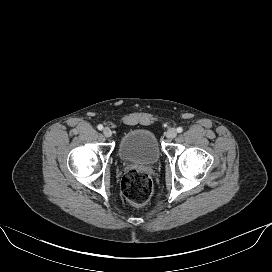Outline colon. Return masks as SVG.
Instances as JSON below:
<instances>
[{
	"instance_id": "1",
	"label": "colon",
	"mask_w": 272,
	"mask_h": 272,
	"mask_svg": "<svg viewBox=\"0 0 272 272\" xmlns=\"http://www.w3.org/2000/svg\"><path fill=\"white\" fill-rule=\"evenodd\" d=\"M121 189L129 202L142 206L148 202L152 195L153 183L147 174L134 169L123 176Z\"/></svg>"
}]
</instances>
